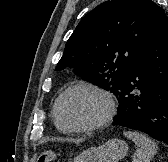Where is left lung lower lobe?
<instances>
[{
  "label": "left lung lower lobe",
  "mask_w": 168,
  "mask_h": 162,
  "mask_svg": "<svg viewBox=\"0 0 168 162\" xmlns=\"http://www.w3.org/2000/svg\"><path fill=\"white\" fill-rule=\"evenodd\" d=\"M114 95L120 104L112 125L145 132L168 145V20Z\"/></svg>",
  "instance_id": "obj_1"
}]
</instances>
